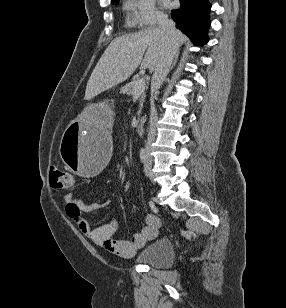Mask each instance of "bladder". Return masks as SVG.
I'll return each mask as SVG.
<instances>
[{
    "label": "bladder",
    "instance_id": "bladder-1",
    "mask_svg": "<svg viewBox=\"0 0 286 308\" xmlns=\"http://www.w3.org/2000/svg\"><path fill=\"white\" fill-rule=\"evenodd\" d=\"M174 247L167 238H161L145 246L137 255L136 261L140 264L155 267H167L174 261Z\"/></svg>",
    "mask_w": 286,
    "mask_h": 308
}]
</instances>
